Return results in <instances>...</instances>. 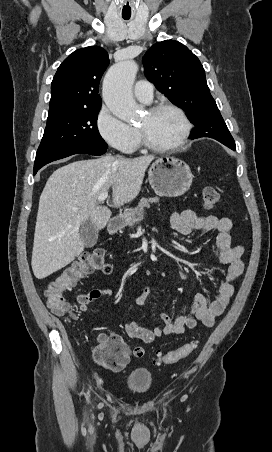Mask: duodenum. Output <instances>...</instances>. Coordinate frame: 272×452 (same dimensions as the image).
Returning <instances> with one entry per match:
<instances>
[{"instance_id":"410a0bca","label":"duodenum","mask_w":272,"mask_h":452,"mask_svg":"<svg viewBox=\"0 0 272 452\" xmlns=\"http://www.w3.org/2000/svg\"><path fill=\"white\" fill-rule=\"evenodd\" d=\"M121 226L120 217L115 216L109 220L107 228L110 233H116L121 229Z\"/></svg>"}]
</instances>
